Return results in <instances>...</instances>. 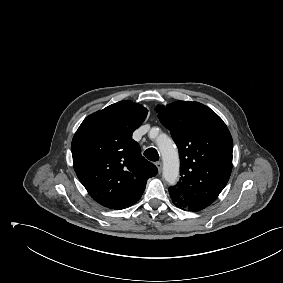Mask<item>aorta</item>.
Returning a JSON list of instances; mask_svg holds the SVG:
<instances>
[{
  "instance_id": "1",
  "label": "aorta",
  "mask_w": 283,
  "mask_h": 283,
  "mask_svg": "<svg viewBox=\"0 0 283 283\" xmlns=\"http://www.w3.org/2000/svg\"><path fill=\"white\" fill-rule=\"evenodd\" d=\"M157 146L163 159V177L170 185H174L179 177V156L177 147L173 140L166 135L157 139Z\"/></svg>"
}]
</instances>
